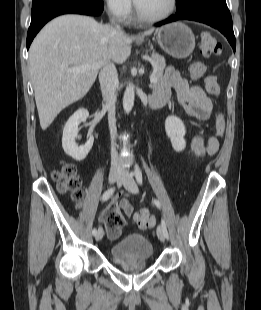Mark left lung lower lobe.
I'll use <instances>...</instances> for the list:
<instances>
[{
  "label": "left lung lower lobe",
  "instance_id": "1",
  "mask_svg": "<svg viewBox=\"0 0 261 310\" xmlns=\"http://www.w3.org/2000/svg\"><path fill=\"white\" fill-rule=\"evenodd\" d=\"M186 19L205 23L218 29L228 39L233 51L236 49V40L233 32L232 18L226 0H199L189 10L177 12L156 26H161L177 20Z\"/></svg>",
  "mask_w": 261,
  "mask_h": 310
}]
</instances>
